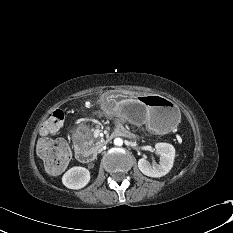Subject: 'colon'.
<instances>
[{"label": "colon", "mask_w": 233, "mask_h": 233, "mask_svg": "<svg viewBox=\"0 0 233 233\" xmlns=\"http://www.w3.org/2000/svg\"><path fill=\"white\" fill-rule=\"evenodd\" d=\"M64 112L54 111L42 124V133L45 136L37 145V153L42 159L46 170L51 174L63 171L71 157L68 144L62 139H51L48 136L58 133L64 122Z\"/></svg>", "instance_id": "colon-1"}]
</instances>
